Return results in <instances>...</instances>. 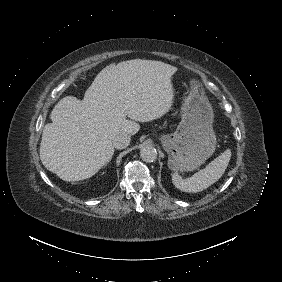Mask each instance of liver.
I'll return each instance as SVG.
<instances>
[{
    "label": "liver",
    "mask_w": 282,
    "mask_h": 282,
    "mask_svg": "<svg viewBox=\"0 0 282 282\" xmlns=\"http://www.w3.org/2000/svg\"><path fill=\"white\" fill-rule=\"evenodd\" d=\"M176 71L170 64L142 59L103 68L83 100L66 96L53 108L40 144L42 164L64 181L95 175L111 160L116 135H134L140 129L136 121L169 112Z\"/></svg>",
    "instance_id": "1"
}]
</instances>
